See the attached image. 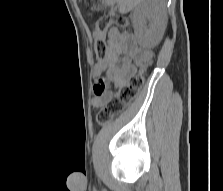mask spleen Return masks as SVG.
<instances>
[{
  "label": "spleen",
  "instance_id": "spleen-1",
  "mask_svg": "<svg viewBox=\"0 0 223 191\" xmlns=\"http://www.w3.org/2000/svg\"><path fill=\"white\" fill-rule=\"evenodd\" d=\"M107 3H113L115 2L116 0H105Z\"/></svg>",
  "mask_w": 223,
  "mask_h": 191
}]
</instances>
